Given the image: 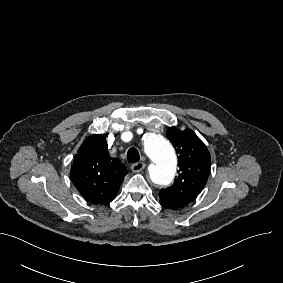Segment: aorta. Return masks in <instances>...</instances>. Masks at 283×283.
<instances>
[{
    "label": "aorta",
    "mask_w": 283,
    "mask_h": 283,
    "mask_svg": "<svg viewBox=\"0 0 283 283\" xmlns=\"http://www.w3.org/2000/svg\"><path fill=\"white\" fill-rule=\"evenodd\" d=\"M146 155L151 159L149 175L158 185H169L175 176L177 158L171 143L164 137L150 134L144 142Z\"/></svg>",
    "instance_id": "1"
}]
</instances>
